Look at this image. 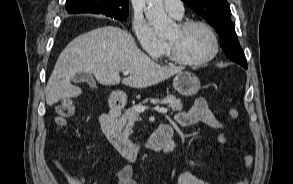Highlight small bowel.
Segmentation results:
<instances>
[{
	"instance_id": "obj_1",
	"label": "small bowel",
	"mask_w": 293,
	"mask_h": 184,
	"mask_svg": "<svg viewBox=\"0 0 293 184\" xmlns=\"http://www.w3.org/2000/svg\"><path fill=\"white\" fill-rule=\"evenodd\" d=\"M175 120L181 126H191L198 122H202L212 128L222 129L224 128V123L220 121L210 110L206 100L202 97L197 98L190 109L187 111L178 112L175 115ZM225 136L221 133L219 140L220 142L225 141ZM176 147V143L173 142V148ZM172 150L166 152L169 153ZM60 170L64 173L69 184H82V181L78 174L72 170L59 165ZM132 168L123 164L119 166L115 172V178L117 184H138L132 180ZM178 184H210L208 181L201 179L191 172H182L177 179Z\"/></svg>"
}]
</instances>
